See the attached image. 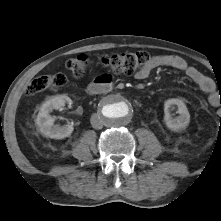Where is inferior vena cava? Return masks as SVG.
<instances>
[{
	"label": "inferior vena cava",
	"mask_w": 221,
	"mask_h": 221,
	"mask_svg": "<svg viewBox=\"0 0 221 221\" xmlns=\"http://www.w3.org/2000/svg\"><path fill=\"white\" fill-rule=\"evenodd\" d=\"M91 125L94 129H102L103 128V120L99 114H93L90 119Z\"/></svg>",
	"instance_id": "1"
}]
</instances>
